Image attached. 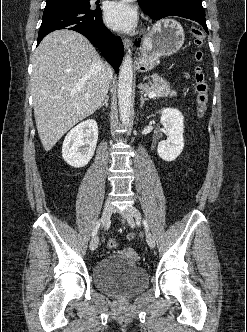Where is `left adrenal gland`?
Here are the masks:
<instances>
[{
	"label": "left adrenal gland",
	"instance_id": "obj_1",
	"mask_svg": "<svg viewBox=\"0 0 247 332\" xmlns=\"http://www.w3.org/2000/svg\"><path fill=\"white\" fill-rule=\"evenodd\" d=\"M147 100H148V99H147L146 97H143V95L141 94V96H140V101H141L140 108L143 107L145 101H147Z\"/></svg>",
	"mask_w": 247,
	"mask_h": 332
}]
</instances>
